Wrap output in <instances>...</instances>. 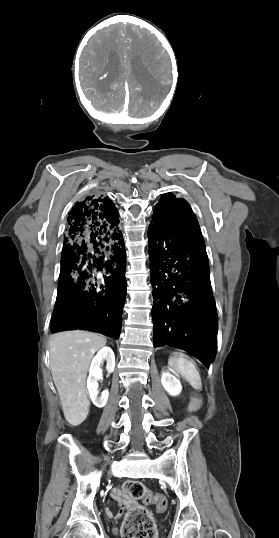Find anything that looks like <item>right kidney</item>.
<instances>
[{
  "mask_svg": "<svg viewBox=\"0 0 279 538\" xmlns=\"http://www.w3.org/2000/svg\"><path fill=\"white\" fill-rule=\"evenodd\" d=\"M103 360H106L107 362V372H110V374H112L115 368V356L111 348H107V346H105V348H102V350H99L98 354H96L95 358H93L87 380V388L90 394V398L94 406H97V408H103L109 396L108 390H104L101 396H98V380H102V370L100 366Z\"/></svg>",
  "mask_w": 279,
  "mask_h": 538,
  "instance_id": "ca27d5eb",
  "label": "right kidney"
}]
</instances>
